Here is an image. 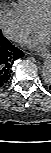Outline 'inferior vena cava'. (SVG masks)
I'll use <instances>...</instances> for the list:
<instances>
[{
  "label": "inferior vena cava",
  "instance_id": "602c4592",
  "mask_svg": "<svg viewBox=\"0 0 51 153\" xmlns=\"http://www.w3.org/2000/svg\"><path fill=\"white\" fill-rule=\"evenodd\" d=\"M5 36L8 40L17 41L19 38L22 37V34L15 30H8L5 33Z\"/></svg>",
  "mask_w": 51,
  "mask_h": 153
}]
</instances>
